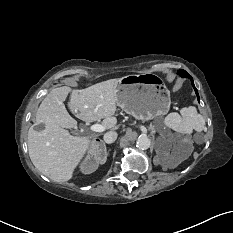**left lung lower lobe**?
<instances>
[{"mask_svg":"<svg viewBox=\"0 0 233 233\" xmlns=\"http://www.w3.org/2000/svg\"><path fill=\"white\" fill-rule=\"evenodd\" d=\"M178 74H179L180 76H182V77L190 78V80H191V82H192V86H193V88H194V90H195V93H196V95H197V99H198V101H199L198 91H197V89L195 88V85H194V82H193L192 77H191L186 71H184V70H179V71H178Z\"/></svg>","mask_w":233,"mask_h":233,"instance_id":"1","label":"left lung lower lobe"}]
</instances>
